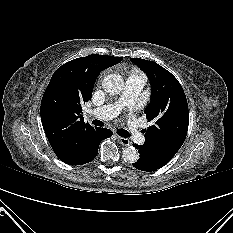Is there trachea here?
<instances>
[{"mask_svg":"<svg viewBox=\"0 0 233 233\" xmlns=\"http://www.w3.org/2000/svg\"><path fill=\"white\" fill-rule=\"evenodd\" d=\"M92 123L96 126H103V123L99 120H93ZM117 134L124 138L130 137L129 132L124 129H117Z\"/></svg>","mask_w":233,"mask_h":233,"instance_id":"3493384b","label":"trachea"}]
</instances>
